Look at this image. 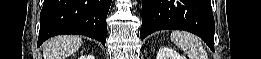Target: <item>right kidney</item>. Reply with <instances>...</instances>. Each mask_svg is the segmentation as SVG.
<instances>
[{
  "label": "right kidney",
  "instance_id": "right-kidney-1",
  "mask_svg": "<svg viewBox=\"0 0 261 59\" xmlns=\"http://www.w3.org/2000/svg\"><path fill=\"white\" fill-rule=\"evenodd\" d=\"M80 59H94L91 55L81 56Z\"/></svg>",
  "mask_w": 261,
  "mask_h": 59
}]
</instances>
